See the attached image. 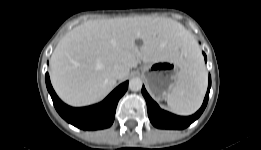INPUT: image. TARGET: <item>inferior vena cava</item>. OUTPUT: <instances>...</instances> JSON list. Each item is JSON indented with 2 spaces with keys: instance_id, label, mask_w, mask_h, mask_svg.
<instances>
[{
  "instance_id": "602c4592",
  "label": "inferior vena cava",
  "mask_w": 261,
  "mask_h": 150,
  "mask_svg": "<svg viewBox=\"0 0 261 150\" xmlns=\"http://www.w3.org/2000/svg\"><path fill=\"white\" fill-rule=\"evenodd\" d=\"M129 74V69L126 68L123 65H115L112 69V75L120 80L123 79L124 77H126Z\"/></svg>"
}]
</instances>
